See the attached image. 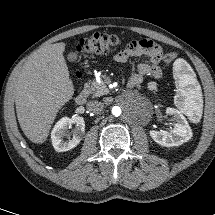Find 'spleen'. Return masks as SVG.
Masks as SVG:
<instances>
[{
    "instance_id": "spleen-1",
    "label": "spleen",
    "mask_w": 215,
    "mask_h": 215,
    "mask_svg": "<svg viewBox=\"0 0 215 215\" xmlns=\"http://www.w3.org/2000/svg\"><path fill=\"white\" fill-rule=\"evenodd\" d=\"M173 68L177 86L176 106L186 115H191L193 111L200 112L202 94L195 76L188 72L187 63L183 59H177Z\"/></svg>"
}]
</instances>
